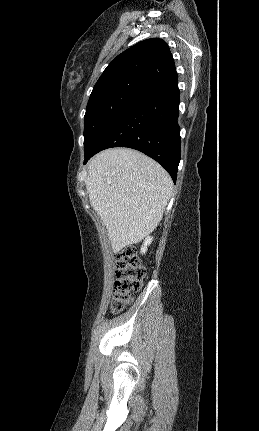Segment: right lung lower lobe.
I'll list each match as a JSON object with an SVG mask.
<instances>
[{
  "mask_svg": "<svg viewBox=\"0 0 259 431\" xmlns=\"http://www.w3.org/2000/svg\"><path fill=\"white\" fill-rule=\"evenodd\" d=\"M178 80L150 89L128 107L85 153L93 155L111 147H129L156 160L176 182L180 161Z\"/></svg>",
  "mask_w": 259,
  "mask_h": 431,
  "instance_id": "98d812e1",
  "label": "right lung lower lobe"
}]
</instances>
